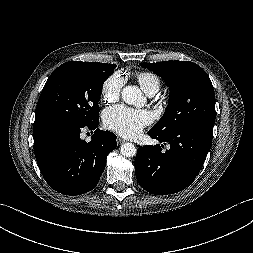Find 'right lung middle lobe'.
Here are the masks:
<instances>
[{
  "mask_svg": "<svg viewBox=\"0 0 253 253\" xmlns=\"http://www.w3.org/2000/svg\"><path fill=\"white\" fill-rule=\"evenodd\" d=\"M115 68L112 64L81 61L60 65L41 92L34 125L59 120L86 126L97 121L103 83Z\"/></svg>",
  "mask_w": 253,
  "mask_h": 253,
  "instance_id": "obj_1",
  "label": "right lung middle lobe"
}]
</instances>
